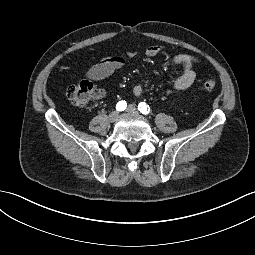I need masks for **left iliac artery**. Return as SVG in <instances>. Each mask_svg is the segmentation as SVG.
<instances>
[{"mask_svg": "<svg viewBox=\"0 0 255 255\" xmlns=\"http://www.w3.org/2000/svg\"><path fill=\"white\" fill-rule=\"evenodd\" d=\"M138 110L142 113V114H148L150 112V107L149 105H147L145 102H140L138 104Z\"/></svg>", "mask_w": 255, "mask_h": 255, "instance_id": "1", "label": "left iliac artery"}]
</instances>
